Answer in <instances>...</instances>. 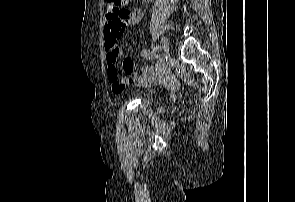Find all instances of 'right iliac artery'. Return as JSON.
I'll list each match as a JSON object with an SVG mask.
<instances>
[{"label":"right iliac artery","mask_w":295,"mask_h":202,"mask_svg":"<svg viewBox=\"0 0 295 202\" xmlns=\"http://www.w3.org/2000/svg\"><path fill=\"white\" fill-rule=\"evenodd\" d=\"M155 50H156L157 52H159V51L161 50V47H160V46H156V47H155Z\"/></svg>","instance_id":"82829eb1"}]
</instances>
